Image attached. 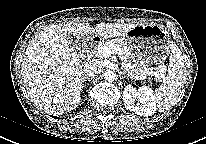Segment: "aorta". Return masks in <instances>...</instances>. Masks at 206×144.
Masks as SVG:
<instances>
[{"label":"aorta","instance_id":"aorta-1","mask_svg":"<svg viewBox=\"0 0 206 144\" xmlns=\"http://www.w3.org/2000/svg\"><path fill=\"white\" fill-rule=\"evenodd\" d=\"M104 78L108 82H114L117 80V75L111 70H107L104 74Z\"/></svg>","mask_w":206,"mask_h":144}]
</instances>
